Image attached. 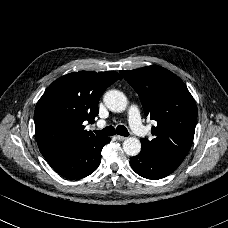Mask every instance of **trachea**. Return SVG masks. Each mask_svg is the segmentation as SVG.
<instances>
[{"instance_id": "3493384b", "label": "trachea", "mask_w": 228, "mask_h": 228, "mask_svg": "<svg viewBox=\"0 0 228 228\" xmlns=\"http://www.w3.org/2000/svg\"><path fill=\"white\" fill-rule=\"evenodd\" d=\"M97 136L106 137V136H112L115 134L121 135V136H129L128 130L125 126L119 125L116 128L113 126H108L102 130H95L94 131Z\"/></svg>"}]
</instances>
